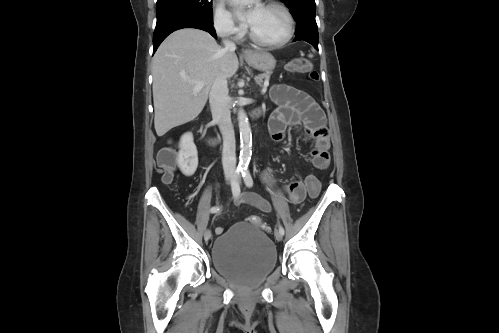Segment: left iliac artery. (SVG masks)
Here are the masks:
<instances>
[{"instance_id":"44dca946","label":"left iliac artery","mask_w":499,"mask_h":333,"mask_svg":"<svg viewBox=\"0 0 499 333\" xmlns=\"http://www.w3.org/2000/svg\"><path fill=\"white\" fill-rule=\"evenodd\" d=\"M241 173H242V177L244 179L245 184L248 187H251L253 185V179H252V176L250 174L249 169L247 167H245V168H243ZM279 231L282 235H284V228L282 226H279Z\"/></svg>"}]
</instances>
